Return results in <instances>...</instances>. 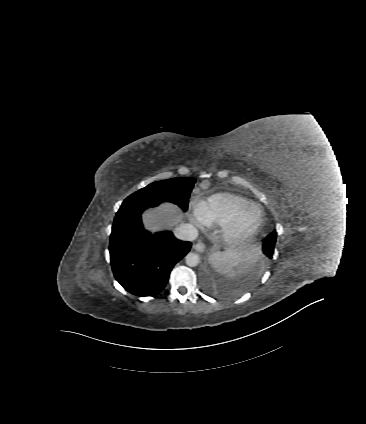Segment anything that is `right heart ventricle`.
<instances>
[{"label":"right heart ventricle","mask_w":366,"mask_h":424,"mask_svg":"<svg viewBox=\"0 0 366 424\" xmlns=\"http://www.w3.org/2000/svg\"><path fill=\"white\" fill-rule=\"evenodd\" d=\"M251 203L238 194L216 193L200 203L197 213L205 224L223 226L240 208Z\"/></svg>","instance_id":"e07e8e85"}]
</instances>
